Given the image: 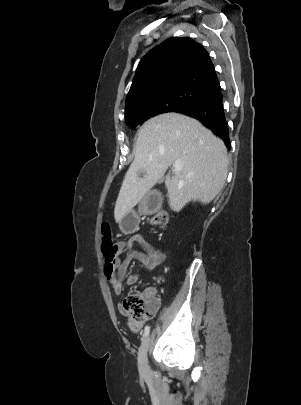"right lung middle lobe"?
Segmentation results:
<instances>
[{
    "instance_id": "1",
    "label": "right lung middle lobe",
    "mask_w": 301,
    "mask_h": 405,
    "mask_svg": "<svg viewBox=\"0 0 301 405\" xmlns=\"http://www.w3.org/2000/svg\"><path fill=\"white\" fill-rule=\"evenodd\" d=\"M212 95L189 87H178L147 96L125 112L127 125L134 129L138 124L156 115L208 100Z\"/></svg>"
}]
</instances>
